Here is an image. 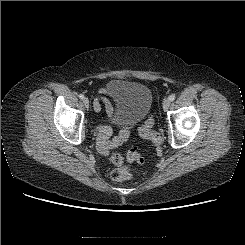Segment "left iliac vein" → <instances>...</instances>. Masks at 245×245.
<instances>
[{
    "instance_id": "obj_1",
    "label": "left iliac vein",
    "mask_w": 245,
    "mask_h": 245,
    "mask_svg": "<svg viewBox=\"0 0 245 245\" xmlns=\"http://www.w3.org/2000/svg\"><path fill=\"white\" fill-rule=\"evenodd\" d=\"M169 106H170V100L169 99H165L163 101V109H164V111H166L169 108Z\"/></svg>"
}]
</instances>
